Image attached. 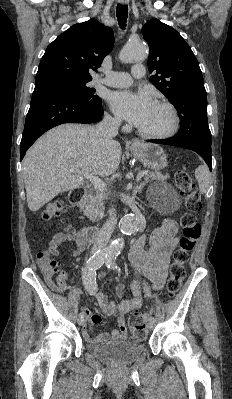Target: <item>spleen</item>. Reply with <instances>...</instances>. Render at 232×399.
Here are the masks:
<instances>
[{
    "instance_id": "obj_1",
    "label": "spleen",
    "mask_w": 232,
    "mask_h": 399,
    "mask_svg": "<svg viewBox=\"0 0 232 399\" xmlns=\"http://www.w3.org/2000/svg\"><path fill=\"white\" fill-rule=\"evenodd\" d=\"M195 178L199 184L201 194H206L210 184V172L208 166H198L195 170Z\"/></svg>"
}]
</instances>
